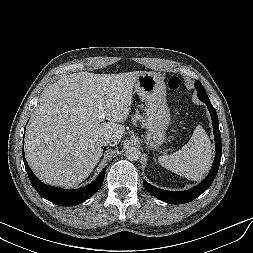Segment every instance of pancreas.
I'll list each match as a JSON object with an SVG mask.
<instances>
[{
  "mask_svg": "<svg viewBox=\"0 0 253 253\" xmlns=\"http://www.w3.org/2000/svg\"><path fill=\"white\" fill-rule=\"evenodd\" d=\"M141 118H142V117H141L140 115L137 114L133 119H134V120H138V119H141ZM142 121H143V120H142Z\"/></svg>",
  "mask_w": 253,
  "mask_h": 253,
  "instance_id": "pancreas-1",
  "label": "pancreas"
}]
</instances>
